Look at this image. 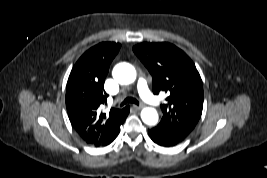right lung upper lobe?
<instances>
[{
	"label": "right lung upper lobe",
	"mask_w": 267,
	"mask_h": 178,
	"mask_svg": "<svg viewBox=\"0 0 267 178\" xmlns=\"http://www.w3.org/2000/svg\"><path fill=\"white\" fill-rule=\"evenodd\" d=\"M120 47L119 43L103 42L90 48L70 73L66 108L74 129L87 142L99 139L125 116L127 107H113L108 113L99 110L100 105L107 101L104 82Z\"/></svg>",
	"instance_id": "cb5924a9"
}]
</instances>
